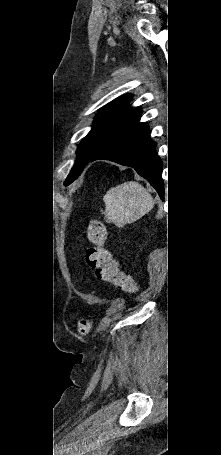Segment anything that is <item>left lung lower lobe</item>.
<instances>
[{"label": "left lung lower lobe", "mask_w": 221, "mask_h": 455, "mask_svg": "<svg viewBox=\"0 0 221 455\" xmlns=\"http://www.w3.org/2000/svg\"><path fill=\"white\" fill-rule=\"evenodd\" d=\"M155 147L156 143L147 137V126L136 122L106 144L91 161L104 159L133 167L163 199L162 161Z\"/></svg>", "instance_id": "left-lung-lower-lobe-1"}]
</instances>
